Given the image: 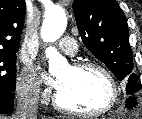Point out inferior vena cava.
<instances>
[{"label":"inferior vena cava","instance_id":"obj_1","mask_svg":"<svg viewBox=\"0 0 142 119\" xmlns=\"http://www.w3.org/2000/svg\"><path fill=\"white\" fill-rule=\"evenodd\" d=\"M39 101V91L34 86H28L17 95L15 119H36Z\"/></svg>","mask_w":142,"mask_h":119}]
</instances>
